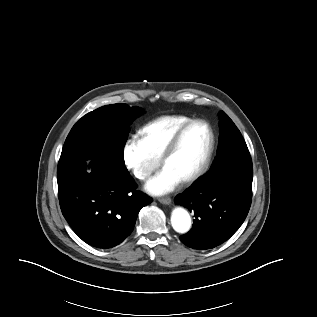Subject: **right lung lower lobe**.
<instances>
[{
  "mask_svg": "<svg viewBox=\"0 0 317 317\" xmlns=\"http://www.w3.org/2000/svg\"><path fill=\"white\" fill-rule=\"evenodd\" d=\"M92 163V172L82 163L58 176L60 207L83 241L99 249L112 248L131 234L140 209L152 199L136 190L123 162L102 155Z\"/></svg>",
  "mask_w": 317,
  "mask_h": 317,
  "instance_id": "obj_1",
  "label": "right lung lower lobe"
}]
</instances>
